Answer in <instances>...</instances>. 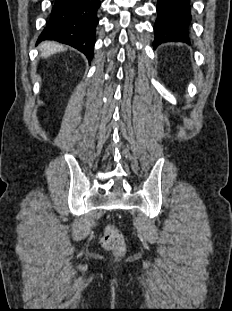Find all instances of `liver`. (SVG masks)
<instances>
[{
  "mask_svg": "<svg viewBox=\"0 0 232 311\" xmlns=\"http://www.w3.org/2000/svg\"><path fill=\"white\" fill-rule=\"evenodd\" d=\"M65 49L66 47H64L63 45L56 43V42H52V41H46L39 45L41 57L43 58H47L50 55H53L57 52L64 51Z\"/></svg>",
  "mask_w": 232,
  "mask_h": 311,
  "instance_id": "6515ba94",
  "label": "liver"
}]
</instances>
